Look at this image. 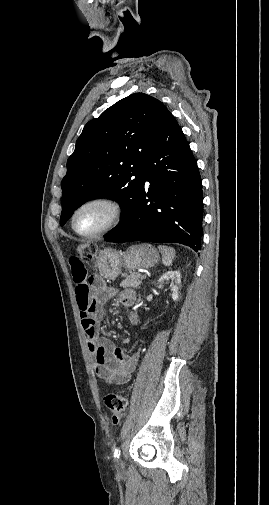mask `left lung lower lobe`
I'll return each instance as SVG.
<instances>
[{"instance_id":"obj_1","label":"left lung lower lobe","mask_w":269,"mask_h":505,"mask_svg":"<svg viewBox=\"0 0 269 505\" xmlns=\"http://www.w3.org/2000/svg\"><path fill=\"white\" fill-rule=\"evenodd\" d=\"M202 221L197 162L176 119L167 112L150 140L131 217L104 239L181 243L198 252Z\"/></svg>"}]
</instances>
